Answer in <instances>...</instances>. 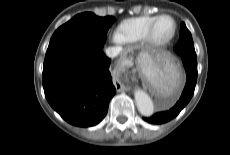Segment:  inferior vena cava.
Returning <instances> with one entry per match:
<instances>
[{
	"instance_id": "obj_1",
	"label": "inferior vena cava",
	"mask_w": 230,
	"mask_h": 155,
	"mask_svg": "<svg viewBox=\"0 0 230 155\" xmlns=\"http://www.w3.org/2000/svg\"><path fill=\"white\" fill-rule=\"evenodd\" d=\"M121 52V48L120 47H109L106 49V55L109 58H114L116 56H118V54Z\"/></svg>"
}]
</instances>
